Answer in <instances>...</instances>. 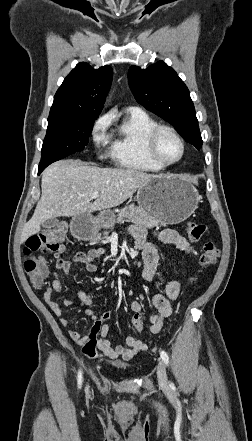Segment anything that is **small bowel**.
Listing matches in <instances>:
<instances>
[{
    "label": "small bowel",
    "instance_id": "obj_1",
    "mask_svg": "<svg viewBox=\"0 0 252 441\" xmlns=\"http://www.w3.org/2000/svg\"><path fill=\"white\" fill-rule=\"evenodd\" d=\"M131 234L136 240L138 248L143 250V270L142 276L147 282H152L156 273L157 264L159 260V254L157 249L150 243L147 231L141 227H134L131 229ZM155 235L160 241L166 244H173L180 250L187 254L193 252V247L187 241L186 238L181 236L177 231L172 229H166L159 232H155ZM62 252L55 254V271H53V281L51 285L44 291L43 299L52 312L60 317V322L63 326L69 327V321L63 317L62 307L53 299L54 292H61L62 284L59 277V272L68 274L71 269L72 262H78L84 265L87 272L94 273L97 270L95 260L103 254L101 249H93L87 253L77 251L72 260H66L61 257ZM180 294V283L178 281H170L165 288L164 294H153L152 303L155 307V312L150 316V330L152 333H158L164 325L166 319L172 314L173 304ZM79 303L85 308V314L92 320L99 318L100 314L95 311L92 306L94 304V297L92 294L83 290L78 291ZM65 306H71L74 304L69 299H64ZM130 309L134 312H141V304L138 301H132L130 303ZM108 327L103 325L101 328V337L98 340V346L103 355L111 358L123 360L133 359L139 352L147 350V345L134 338L128 337L126 339V346H114L112 342L107 338ZM69 336L79 344H83L86 341V337L82 336L79 332L68 329Z\"/></svg>",
    "mask_w": 252,
    "mask_h": 441
}]
</instances>
